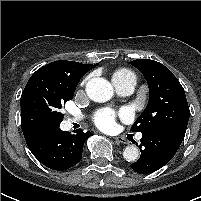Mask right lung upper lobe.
Here are the masks:
<instances>
[{
    "label": "right lung upper lobe",
    "instance_id": "cb5924a9",
    "mask_svg": "<svg viewBox=\"0 0 201 201\" xmlns=\"http://www.w3.org/2000/svg\"><path fill=\"white\" fill-rule=\"evenodd\" d=\"M97 64H82L74 61H54L47 65H45L48 68H51L61 74H65L69 77H80L84 76L89 70L94 68ZM24 137L33 133L35 129H24L22 130Z\"/></svg>",
    "mask_w": 201,
    "mask_h": 201
}]
</instances>
